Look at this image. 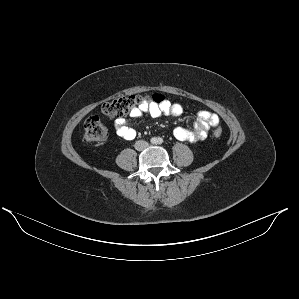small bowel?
Returning a JSON list of instances; mask_svg holds the SVG:
<instances>
[{"label":"small bowel","instance_id":"small-bowel-1","mask_svg":"<svg viewBox=\"0 0 299 299\" xmlns=\"http://www.w3.org/2000/svg\"><path fill=\"white\" fill-rule=\"evenodd\" d=\"M143 114H148L151 117H159L161 115L181 116L183 107L178 103H172L164 100L160 103H149L141 106L130 112L129 117H121L115 120L116 134L126 140H132L137 137V130L131 125V119L141 117ZM219 125V117L217 114L199 110L196 113V121L193 129L184 127H176L173 130V135L178 140L196 143L204 140L207 137L208 131L211 128H216Z\"/></svg>","mask_w":299,"mask_h":299}]
</instances>
